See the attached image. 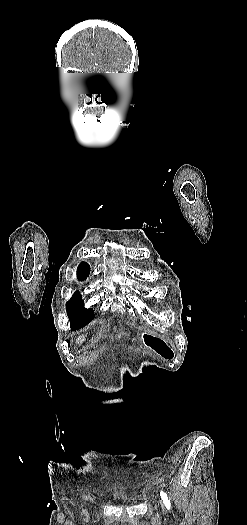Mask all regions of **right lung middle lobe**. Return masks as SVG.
Masks as SVG:
<instances>
[{"label":"right lung middle lobe","instance_id":"dd1d6c3e","mask_svg":"<svg viewBox=\"0 0 247 525\" xmlns=\"http://www.w3.org/2000/svg\"><path fill=\"white\" fill-rule=\"evenodd\" d=\"M79 280H85L88 275L77 274ZM67 314L70 318L71 329L76 330L85 326L94 318L92 309H85L80 293L77 291L66 303Z\"/></svg>","mask_w":247,"mask_h":525}]
</instances>
